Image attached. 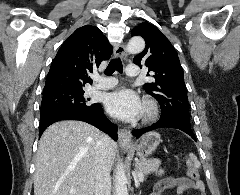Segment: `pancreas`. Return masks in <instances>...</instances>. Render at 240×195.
<instances>
[{"mask_svg": "<svg viewBox=\"0 0 240 195\" xmlns=\"http://www.w3.org/2000/svg\"><path fill=\"white\" fill-rule=\"evenodd\" d=\"M160 165V159H156V157H153V159H139L137 163H135V169L138 171V173H144V175H148V173H151V171H154L156 175H162L164 173V169H159Z\"/></svg>", "mask_w": 240, "mask_h": 195, "instance_id": "1", "label": "pancreas"}]
</instances>
